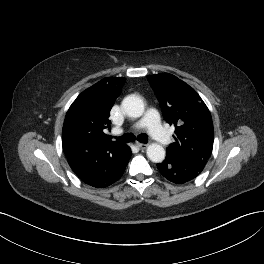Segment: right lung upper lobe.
<instances>
[{"mask_svg":"<svg viewBox=\"0 0 264 264\" xmlns=\"http://www.w3.org/2000/svg\"><path fill=\"white\" fill-rule=\"evenodd\" d=\"M124 82L122 77L104 78L72 103L62 129V146L67 159L101 152L116 153L126 146L111 141L104 133L110 129L109 113Z\"/></svg>","mask_w":264,"mask_h":264,"instance_id":"right-lung-upper-lobe-1","label":"right lung upper lobe"}]
</instances>
